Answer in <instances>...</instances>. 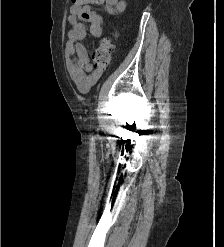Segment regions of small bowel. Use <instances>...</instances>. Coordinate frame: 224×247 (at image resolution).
<instances>
[{
	"label": "small bowel",
	"instance_id": "1",
	"mask_svg": "<svg viewBox=\"0 0 224 247\" xmlns=\"http://www.w3.org/2000/svg\"><path fill=\"white\" fill-rule=\"evenodd\" d=\"M81 5H72L68 22L72 29L68 32L65 45V55L70 78L76 88L86 93L98 81L102 71L94 70L89 55L81 41L87 33L94 37L102 35V17L92 9L91 5H103L106 13L118 15L125 11L126 3L123 0H82Z\"/></svg>",
	"mask_w": 224,
	"mask_h": 247
}]
</instances>
